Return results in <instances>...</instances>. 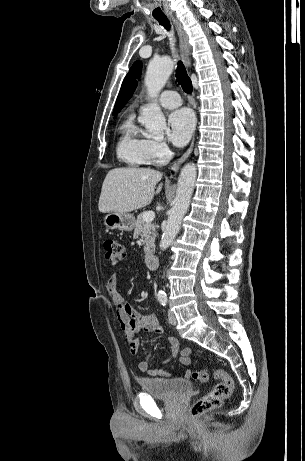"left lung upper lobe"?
<instances>
[{"label":"left lung upper lobe","mask_w":305,"mask_h":461,"mask_svg":"<svg viewBox=\"0 0 305 461\" xmlns=\"http://www.w3.org/2000/svg\"><path fill=\"white\" fill-rule=\"evenodd\" d=\"M141 72H142L141 62L140 61L134 62V64L130 68L128 74L126 75L122 83V86H121V89H120V92H119V95L117 97L116 104L114 107V114L116 112H119L121 108L124 107V105L127 103V101L132 96L137 86L136 78L139 77Z\"/></svg>","instance_id":"5c2ea615"}]
</instances>
